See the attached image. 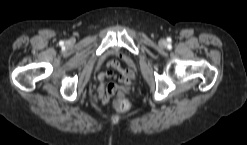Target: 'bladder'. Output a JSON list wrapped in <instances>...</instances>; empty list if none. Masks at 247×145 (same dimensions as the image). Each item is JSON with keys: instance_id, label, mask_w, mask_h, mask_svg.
<instances>
[{"instance_id": "obj_1", "label": "bladder", "mask_w": 247, "mask_h": 145, "mask_svg": "<svg viewBox=\"0 0 247 145\" xmlns=\"http://www.w3.org/2000/svg\"><path fill=\"white\" fill-rule=\"evenodd\" d=\"M115 54H117V52H114V51L111 52V55H115ZM128 62L131 63L132 61L128 59Z\"/></svg>"}]
</instances>
